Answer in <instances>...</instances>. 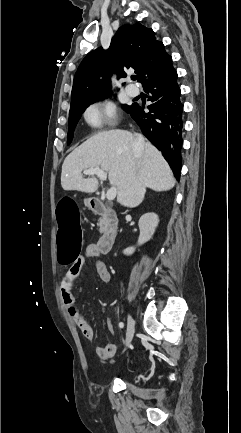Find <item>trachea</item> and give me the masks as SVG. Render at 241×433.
<instances>
[{
  "mask_svg": "<svg viewBox=\"0 0 241 433\" xmlns=\"http://www.w3.org/2000/svg\"><path fill=\"white\" fill-rule=\"evenodd\" d=\"M132 79H133V80H136V79H137V76H132Z\"/></svg>",
  "mask_w": 241,
  "mask_h": 433,
  "instance_id": "3493384b",
  "label": "trachea"
}]
</instances>
